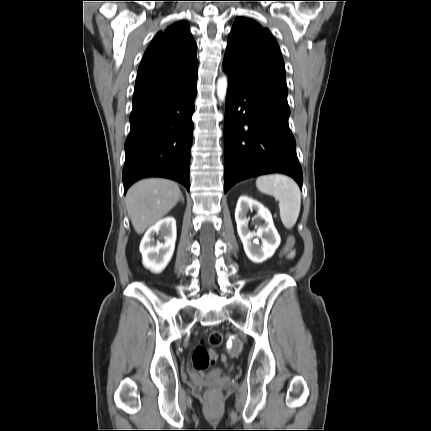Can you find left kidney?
I'll use <instances>...</instances> for the list:
<instances>
[{
    "mask_svg": "<svg viewBox=\"0 0 431 431\" xmlns=\"http://www.w3.org/2000/svg\"><path fill=\"white\" fill-rule=\"evenodd\" d=\"M249 210L257 212V232H251L248 228L249 219L247 218V213ZM235 220L244 251L251 261L262 263L273 256L280 245L281 239L274 226L272 215L267 208L247 196H241L237 201ZM255 237L261 238V243L256 242Z\"/></svg>",
    "mask_w": 431,
    "mask_h": 431,
    "instance_id": "obj_1",
    "label": "left kidney"
}]
</instances>
